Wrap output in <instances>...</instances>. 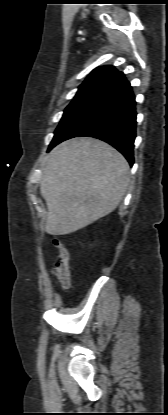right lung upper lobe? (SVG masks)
Returning <instances> with one entry per match:
<instances>
[{
  "label": "right lung upper lobe",
  "instance_id": "obj_1",
  "mask_svg": "<svg viewBox=\"0 0 168 415\" xmlns=\"http://www.w3.org/2000/svg\"><path fill=\"white\" fill-rule=\"evenodd\" d=\"M124 74L113 66H101L94 69L79 86L77 93L101 94L107 88L122 80Z\"/></svg>",
  "mask_w": 168,
  "mask_h": 415
}]
</instances>
